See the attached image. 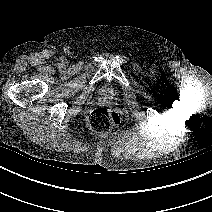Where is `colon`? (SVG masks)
Masks as SVG:
<instances>
[{
    "label": "colon",
    "mask_w": 212,
    "mask_h": 212,
    "mask_svg": "<svg viewBox=\"0 0 212 212\" xmlns=\"http://www.w3.org/2000/svg\"><path fill=\"white\" fill-rule=\"evenodd\" d=\"M88 121L94 131L103 133L119 126L121 118L112 108L98 107L90 113Z\"/></svg>",
    "instance_id": "obj_1"
}]
</instances>
